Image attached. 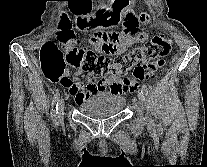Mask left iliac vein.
I'll return each mask as SVG.
<instances>
[{
	"label": "left iliac vein",
	"mask_w": 207,
	"mask_h": 167,
	"mask_svg": "<svg viewBox=\"0 0 207 167\" xmlns=\"http://www.w3.org/2000/svg\"><path fill=\"white\" fill-rule=\"evenodd\" d=\"M138 99L142 104H145L146 99H145L144 94H142L141 92L138 93Z\"/></svg>",
	"instance_id": "obj_1"
}]
</instances>
